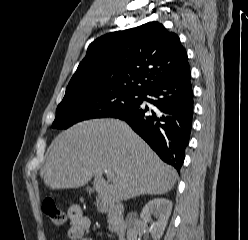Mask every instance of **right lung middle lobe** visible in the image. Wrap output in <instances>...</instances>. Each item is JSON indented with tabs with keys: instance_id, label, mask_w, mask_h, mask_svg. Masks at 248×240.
Instances as JSON below:
<instances>
[{
	"instance_id": "right-lung-middle-lobe-1",
	"label": "right lung middle lobe",
	"mask_w": 248,
	"mask_h": 240,
	"mask_svg": "<svg viewBox=\"0 0 248 240\" xmlns=\"http://www.w3.org/2000/svg\"><path fill=\"white\" fill-rule=\"evenodd\" d=\"M143 93L124 89L82 88L66 90L58 105L53 128L66 129L92 118L110 117L138 104Z\"/></svg>"
}]
</instances>
